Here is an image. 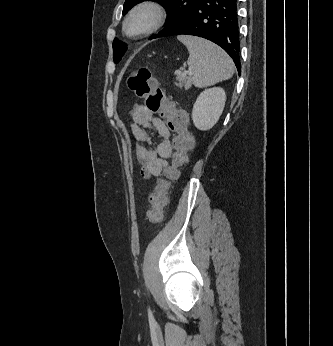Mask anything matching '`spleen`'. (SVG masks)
<instances>
[{
    "mask_svg": "<svg viewBox=\"0 0 333 346\" xmlns=\"http://www.w3.org/2000/svg\"><path fill=\"white\" fill-rule=\"evenodd\" d=\"M178 39L189 51L187 63L196 87L203 88L232 77L234 65L223 49L199 37L179 36Z\"/></svg>",
    "mask_w": 333,
    "mask_h": 346,
    "instance_id": "1",
    "label": "spleen"
}]
</instances>
